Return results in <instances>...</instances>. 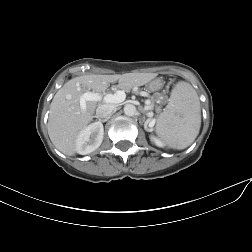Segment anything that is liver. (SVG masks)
I'll return each mask as SVG.
<instances>
[{
    "label": "liver",
    "mask_w": 252,
    "mask_h": 252,
    "mask_svg": "<svg viewBox=\"0 0 252 252\" xmlns=\"http://www.w3.org/2000/svg\"><path fill=\"white\" fill-rule=\"evenodd\" d=\"M155 77L151 73H125L114 75H83L67 81L55 94L49 112L48 134L54 146L63 154L73 156L80 132L92 121L97 107L96 101H86L84 110L80 98L90 90L101 92L109 83L118 81L121 89L129 90L142 86Z\"/></svg>",
    "instance_id": "obj_1"
}]
</instances>
